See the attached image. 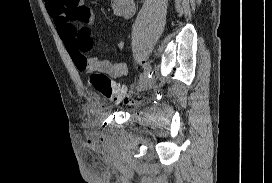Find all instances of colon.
<instances>
[{"mask_svg": "<svg viewBox=\"0 0 272 183\" xmlns=\"http://www.w3.org/2000/svg\"><path fill=\"white\" fill-rule=\"evenodd\" d=\"M88 70L90 85L100 95L116 102L130 103L132 101L126 89L116 85L107 75L98 72L93 68H88Z\"/></svg>", "mask_w": 272, "mask_h": 183, "instance_id": "obj_1", "label": "colon"}]
</instances>
